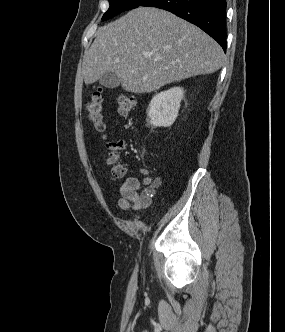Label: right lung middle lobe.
Here are the masks:
<instances>
[{
  "label": "right lung middle lobe",
  "mask_w": 285,
  "mask_h": 332,
  "mask_svg": "<svg viewBox=\"0 0 285 332\" xmlns=\"http://www.w3.org/2000/svg\"><path fill=\"white\" fill-rule=\"evenodd\" d=\"M145 1L146 0H109L110 7L103 15L102 20H108L123 11L136 8Z\"/></svg>",
  "instance_id": "1"
}]
</instances>
